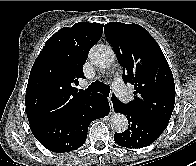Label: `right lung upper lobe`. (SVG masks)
I'll list each match as a JSON object with an SVG mask.
<instances>
[{
	"mask_svg": "<svg viewBox=\"0 0 196 166\" xmlns=\"http://www.w3.org/2000/svg\"><path fill=\"white\" fill-rule=\"evenodd\" d=\"M103 24L79 22L56 32L31 69L26 89L30 125L63 117L95 94L75 89L89 50L101 38Z\"/></svg>",
	"mask_w": 196,
	"mask_h": 166,
	"instance_id": "cb5924a9",
	"label": "right lung upper lobe"
}]
</instances>
